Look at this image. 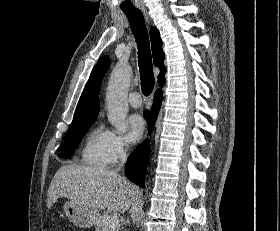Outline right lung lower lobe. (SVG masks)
Returning a JSON list of instances; mask_svg holds the SVG:
<instances>
[{"label": "right lung lower lobe", "instance_id": "right-lung-lower-lobe-1", "mask_svg": "<svg viewBox=\"0 0 280 231\" xmlns=\"http://www.w3.org/2000/svg\"><path fill=\"white\" fill-rule=\"evenodd\" d=\"M162 95L159 90L156 91L154 95V101L152 106V111H145L144 117L149 123L150 129L155 121V118L159 112L161 106ZM149 159V144L148 142L139 145L129 156L125 171L128 178L137 185L144 187V176Z\"/></svg>", "mask_w": 280, "mask_h": 231}]
</instances>
